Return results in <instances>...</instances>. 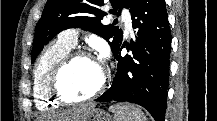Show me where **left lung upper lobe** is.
I'll return each mask as SVG.
<instances>
[{
  "label": "left lung upper lobe",
  "mask_w": 217,
  "mask_h": 121,
  "mask_svg": "<svg viewBox=\"0 0 217 121\" xmlns=\"http://www.w3.org/2000/svg\"><path fill=\"white\" fill-rule=\"evenodd\" d=\"M113 9L109 12L119 16L122 8H129L133 0H109ZM104 0H48L42 16L35 28L32 63L53 37L68 28L81 27L103 37L111 46L113 54L123 39V31L115 26L103 25L101 20L107 15L100 9Z\"/></svg>",
  "instance_id": "left-lung-upper-lobe-1"
}]
</instances>
